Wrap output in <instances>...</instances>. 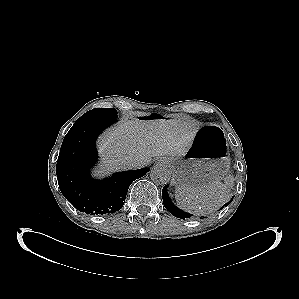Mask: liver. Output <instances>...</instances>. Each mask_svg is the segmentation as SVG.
Masks as SVG:
<instances>
[{"label":"liver","mask_w":299,"mask_h":299,"mask_svg":"<svg viewBox=\"0 0 299 299\" xmlns=\"http://www.w3.org/2000/svg\"><path fill=\"white\" fill-rule=\"evenodd\" d=\"M199 128V123L187 119L122 120L100 137L99 153L108 171L128 169L133 160L149 163L153 157H181Z\"/></svg>","instance_id":"liver-1"}]
</instances>
